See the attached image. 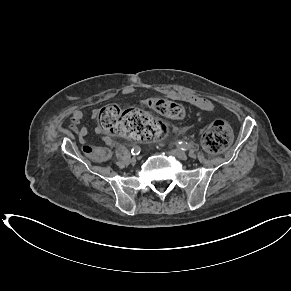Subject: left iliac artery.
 <instances>
[{
	"mask_svg": "<svg viewBox=\"0 0 291 291\" xmlns=\"http://www.w3.org/2000/svg\"><path fill=\"white\" fill-rule=\"evenodd\" d=\"M177 146L181 148L182 150H188L189 149V144L184 141H179Z\"/></svg>",
	"mask_w": 291,
	"mask_h": 291,
	"instance_id": "obj_1",
	"label": "left iliac artery"
}]
</instances>
